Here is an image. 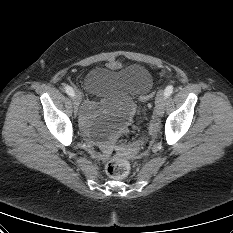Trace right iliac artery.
I'll return each mask as SVG.
<instances>
[{
  "instance_id": "1",
  "label": "right iliac artery",
  "mask_w": 233,
  "mask_h": 233,
  "mask_svg": "<svg viewBox=\"0 0 233 233\" xmlns=\"http://www.w3.org/2000/svg\"><path fill=\"white\" fill-rule=\"evenodd\" d=\"M65 91H66V93H67L68 95H70L71 97H73V96L75 95L73 88L70 87V86H68V85L65 86Z\"/></svg>"
}]
</instances>
